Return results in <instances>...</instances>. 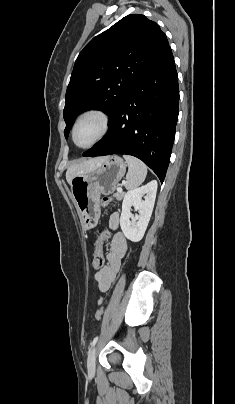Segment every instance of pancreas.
Wrapping results in <instances>:
<instances>
[{"instance_id":"obj_1","label":"pancreas","mask_w":235,"mask_h":404,"mask_svg":"<svg viewBox=\"0 0 235 404\" xmlns=\"http://www.w3.org/2000/svg\"><path fill=\"white\" fill-rule=\"evenodd\" d=\"M113 197H115L117 200H122V198L124 197V192H117L113 194Z\"/></svg>"}]
</instances>
